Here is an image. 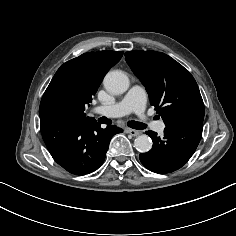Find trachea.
Masks as SVG:
<instances>
[{
  "label": "trachea",
  "mask_w": 236,
  "mask_h": 236,
  "mask_svg": "<svg viewBox=\"0 0 236 236\" xmlns=\"http://www.w3.org/2000/svg\"><path fill=\"white\" fill-rule=\"evenodd\" d=\"M100 123L102 124H111L112 121L106 117H101L98 120ZM127 125L133 129H138V130H142L146 128V125L144 123L141 122H137V121H128Z\"/></svg>",
  "instance_id": "3493384b"
}]
</instances>
